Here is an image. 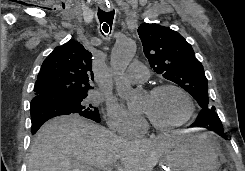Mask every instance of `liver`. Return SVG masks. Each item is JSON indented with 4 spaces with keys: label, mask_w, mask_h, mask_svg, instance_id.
<instances>
[{
    "label": "liver",
    "mask_w": 245,
    "mask_h": 171,
    "mask_svg": "<svg viewBox=\"0 0 245 171\" xmlns=\"http://www.w3.org/2000/svg\"><path fill=\"white\" fill-rule=\"evenodd\" d=\"M183 135L167 133L153 140L128 141L77 115L45 123L33 140L28 171H91L120 161L117 171H152Z\"/></svg>",
    "instance_id": "liver-1"
}]
</instances>
